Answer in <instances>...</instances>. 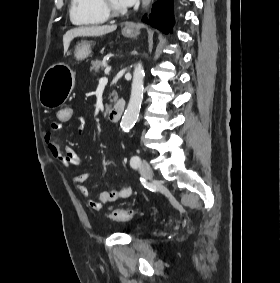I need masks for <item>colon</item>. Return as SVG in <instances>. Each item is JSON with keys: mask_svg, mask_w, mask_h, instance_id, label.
<instances>
[{"mask_svg": "<svg viewBox=\"0 0 280 283\" xmlns=\"http://www.w3.org/2000/svg\"><path fill=\"white\" fill-rule=\"evenodd\" d=\"M73 111L71 105H62L56 111L58 122H72ZM133 212L126 209L112 210L108 217L113 221H126L132 218Z\"/></svg>", "mask_w": 280, "mask_h": 283, "instance_id": "5ec220e1", "label": "colon"}]
</instances>
